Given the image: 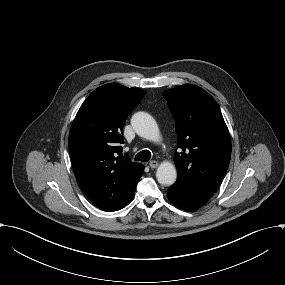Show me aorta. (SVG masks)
I'll return each mask as SVG.
<instances>
[{"label": "aorta", "mask_w": 285, "mask_h": 285, "mask_svg": "<svg viewBox=\"0 0 285 285\" xmlns=\"http://www.w3.org/2000/svg\"><path fill=\"white\" fill-rule=\"evenodd\" d=\"M131 125L142 138L150 141L158 142L161 139L158 125L154 118L145 112H137L131 118ZM158 182L165 186H170L177 179V171L175 166L167 161L162 162L156 171Z\"/></svg>", "instance_id": "aorta-1"}]
</instances>
